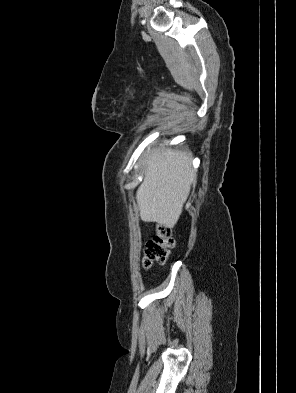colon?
Instances as JSON below:
<instances>
[{
  "instance_id": "1",
  "label": "colon",
  "mask_w": 296,
  "mask_h": 393,
  "mask_svg": "<svg viewBox=\"0 0 296 393\" xmlns=\"http://www.w3.org/2000/svg\"><path fill=\"white\" fill-rule=\"evenodd\" d=\"M174 246L171 229L164 225H159L155 235L147 242L145 247L144 265L149 268L154 263H164Z\"/></svg>"
}]
</instances>
